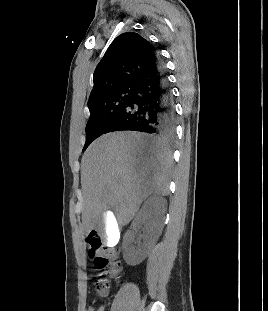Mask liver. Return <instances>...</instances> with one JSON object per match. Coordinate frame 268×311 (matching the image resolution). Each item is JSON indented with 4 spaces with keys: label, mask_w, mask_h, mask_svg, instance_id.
<instances>
[{
    "label": "liver",
    "mask_w": 268,
    "mask_h": 311,
    "mask_svg": "<svg viewBox=\"0 0 268 311\" xmlns=\"http://www.w3.org/2000/svg\"><path fill=\"white\" fill-rule=\"evenodd\" d=\"M172 157L136 132H113L96 139L81 160L82 230L99 229L107 210L127 225L150 195L169 193Z\"/></svg>",
    "instance_id": "1"
}]
</instances>
